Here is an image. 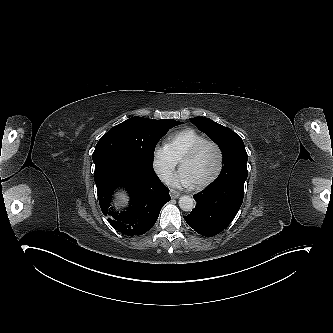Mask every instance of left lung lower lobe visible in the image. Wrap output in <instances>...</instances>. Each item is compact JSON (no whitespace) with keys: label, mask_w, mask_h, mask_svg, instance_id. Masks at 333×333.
Masks as SVG:
<instances>
[{"label":"left lung lower lobe","mask_w":333,"mask_h":333,"mask_svg":"<svg viewBox=\"0 0 333 333\" xmlns=\"http://www.w3.org/2000/svg\"><path fill=\"white\" fill-rule=\"evenodd\" d=\"M244 184L215 180L194 195L197 205L184 219L198 234L206 237L223 231L235 218L242 202Z\"/></svg>","instance_id":"0a47b994"}]
</instances>
